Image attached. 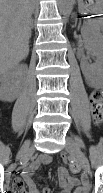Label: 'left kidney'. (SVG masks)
Returning a JSON list of instances; mask_svg holds the SVG:
<instances>
[{
	"label": "left kidney",
	"mask_w": 103,
	"mask_h": 193,
	"mask_svg": "<svg viewBox=\"0 0 103 193\" xmlns=\"http://www.w3.org/2000/svg\"><path fill=\"white\" fill-rule=\"evenodd\" d=\"M87 52L95 57V63L89 64L87 61L81 62V70L87 80L103 78V47L102 44L84 40Z\"/></svg>",
	"instance_id": "left-kidney-1"
}]
</instances>
